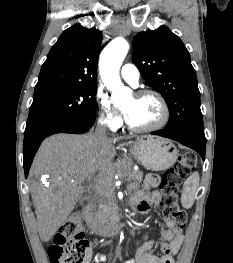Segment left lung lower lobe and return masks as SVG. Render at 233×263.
I'll return each mask as SVG.
<instances>
[{
    "instance_id": "obj_1",
    "label": "left lung lower lobe",
    "mask_w": 233,
    "mask_h": 263,
    "mask_svg": "<svg viewBox=\"0 0 233 263\" xmlns=\"http://www.w3.org/2000/svg\"><path fill=\"white\" fill-rule=\"evenodd\" d=\"M152 134L176 140L182 143L183 145L194 149L201 155L203 160L205 159L206 138H202L190 133H184L180 131L167 129L155 131Z\"/></svg>"
}]
</instances>
